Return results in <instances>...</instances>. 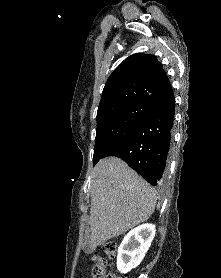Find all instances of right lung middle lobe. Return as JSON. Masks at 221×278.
<instances>
[{
    "mask_svg": "<svg viewBox=\"0 0 221 278\" xmlns=\"http://www.w3.org/2000/svg\"><path fill=\"white\" fill-rule=\"evenodd\" d=\"M150 111L146 102L136 101L97 116L94 164L112 145L129 134Z\"/></svg>",
    "mask_w": 221,
    "mask_h": 278,
    "instance_id": "right-lung-middle-lobe-1",
    "label": "right lung middle lobe"
}]
</instances>
